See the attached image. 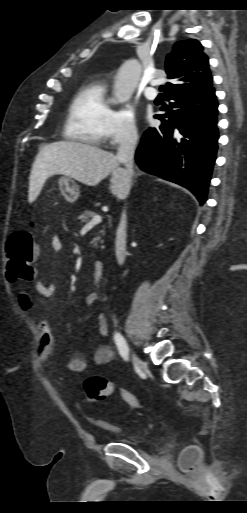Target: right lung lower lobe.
<instances>
[{
  "label": "right lung lower lobe",
  "instance_id": "1",
  "mask_svg": "<svg viewBox=\"0 0 247 513\" xmlns=\"http://www.w3.org/2000/svg\"><path fill=\"white\" fill-rule=\"evenodd\" d=\"M162 121L141 138L136 161L148 173L189 189L203 204L217 153L218 103L213 87L200 93L165 95Z\"/></svg>",
  "mask_w": 247,
  "mask_h": 513
}]
</instances>
